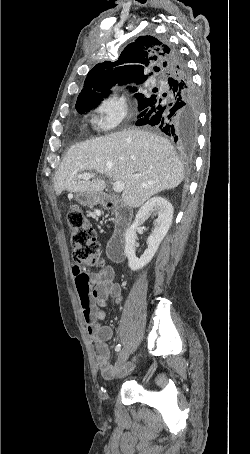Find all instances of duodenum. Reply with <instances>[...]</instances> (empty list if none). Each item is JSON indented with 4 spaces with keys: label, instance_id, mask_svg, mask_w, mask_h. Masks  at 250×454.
Here are the masks:
<instances>
[{
    "label": "duodenum",
    "instance_id": "duodenum-1",
    "mask_svg": "<svg viewBox=\"0 0 250 454\" xmlns=\"http://www.w3.org/2000/svg\"><path fill=\"white\" fill-rule=\"evenodd\" d=\"M101 201L102 203L109 202L112 206L114 204V201L108 197H103ZM113 213L115 225L108 245V254L112 261L121 262L125 257V236L132 214L123 206L115 209Z\"/></svg>",
    "mask_w": 250,
    "mask_h": 454
}]
</instances>
